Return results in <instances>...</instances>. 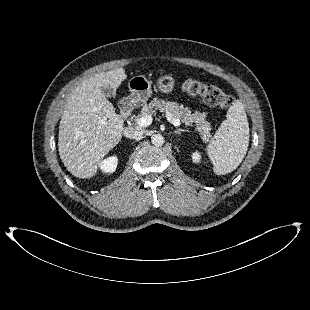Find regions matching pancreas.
Masks as SVG:
<instances>
[{
  "label": "pancreas",
  "instance_id": "1",
  "mask_svg": "<svg viewBox=\"0 0 310 310\" xmlns=\"http://www.w3.org/2000/svg\"><path fill=\"white\" fill-rule=\"evenodd\" d=\"M154 108L160 112H165L167 116L171 119H179L186 126L196 125V130L202 135L204 141H208L211 138V126L210 123L206 120V113L203 112H194L179 105L176 102L164 101L155 98L149 104H144L140 114L136 117V122L139 118L145 115H152L155 113Z\"/></svg>",
  "mask_w": 310,
  "mask_h": 310
}]
</instances>
